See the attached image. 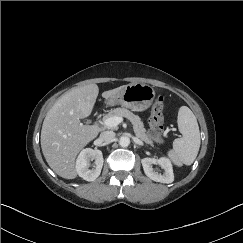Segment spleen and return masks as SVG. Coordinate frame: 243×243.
Here are the masks:
<instances>
[{
  "label": "spleen",
  "instance_id": "1",
  "mask_svg": "<svg viewBox=\"0 0 243 243\" xmlns=\"http://www.w3.org/2000/svg\"><path fill=\"white\" fill-rule=\"evenodd\" d=\"M177 123L181 136L173 141V149L168 152V156L177 166L191 165L200 148L197 119L187 106H182L178 112Z\"/></svg>",
  "mask_w": 243,
  "mask_h": 243
}]
</instances>
